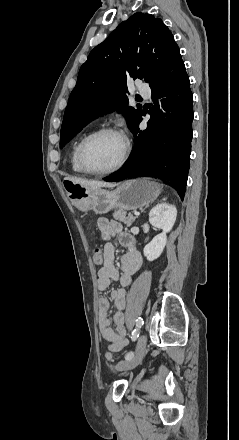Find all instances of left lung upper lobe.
<instances>
[{"label": "left lung upper lobe", "mask_w": 239, "mask_h": 440, "mask_svg": "<svg viewBox=\"0 0 239 440\" xmlns=\"http://www.w3.org/2000/svg\"><path fill=\"white\" fill-rule=\"evenodd\" d=\"M174 45L168 27L151 14L135 13L119 24L80 68L64 113L60 146L94 118L126 106L128 79L150 83L160 74ZM141 114V108H131L125 115L130 129Z\"/></svg>", "instance_id": "5c2ea615"}]
</instances>
